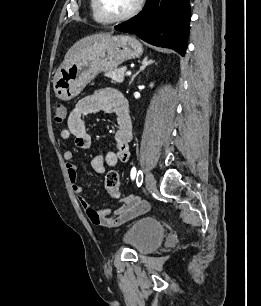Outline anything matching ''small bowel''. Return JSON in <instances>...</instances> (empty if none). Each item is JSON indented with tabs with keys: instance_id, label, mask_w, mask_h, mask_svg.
I'll list each match as a JSON object with an SVG mask.
<instances>
[{
	"instance_id": "obj_1",
	"label": "small bowel",
	"mask_w": 261,
	"mask_h": 306,
	"mask_svg": "<svg viewBox=\"0 0 261 306\" xmlns=\"http://www.w3.org/2000/svg\"><path fill=\"white\" fill-rule=\"evenodd\" d=\"M100 111L113 114L117 124L114 150L99 153L91 160L92 169L98 174H104L106 165L115 167L119 162L125 163L130 159L129 143L132 139V124L127 100L121 92L115 89H101L81 99L70 112L67 128L60 131V137L63 140L73 138L76 147L89 149L91 136L83 117ZM74 156L73 150H66L63 154L68 177L75 195L93 224L108 228L116 227L148 209V204L135 194H128L124 198L123 206L114 212L109 208H93L83 197V188L78 183L77 166L73 163Z\"/></svg>"
}]
</instances>
